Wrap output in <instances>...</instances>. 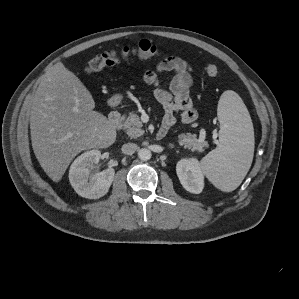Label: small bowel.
<instances>
[{"instance_id":"small-bowel-1","label":"small bowel","mask_w":299,"mask_h":299,"mask_svg":"<svg viewBox=\"0 0 299 299\" xmlns=\"http://www.w3.org/2000/svg\"><path fill=\"white\" fill-rule=\"evenodd\" d=\"M161 72L173 74L168 88L160 83L158 74ZM192 72L191 66L184 59L178 56H169L143 75V81L155 87L154 98L165 110L162 127L167 131L175 124L176 113H180L181 120L185 124H191L197 118L190 98L193 85Z\"/></svg>"}]
</instances>
